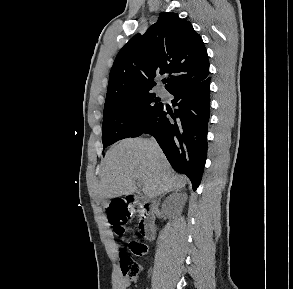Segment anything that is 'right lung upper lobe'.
Masks as SVG:
<instances>
[{
	"label": "right lung upper lobe",
	"instance_id": "1",
	"mask_svg": "<svg viewBox=\"0 0 293 289\" xmlns=\"http://www.w3.org/2000/svg\"><path fill=\"white\" fill-rule=\"evenodd\" d=\"M209 74L199 34L176 13H160L145 34L135 35L118 53L110 71L105 103L148 93L156 75H166L168 91L203 81Z\"/></svg>",
	"mask_w": 293,
	"mask_h": 289
}]
</instances>
